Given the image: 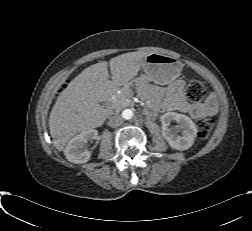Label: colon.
Returning <instances> with one entry per match:
<instances>
[{
    "label": "colon",
    "instance_id": "colon-1",
    "mask_svg": "<svg viewBox=\"0 0 252 231\" xmlns=\"http://www.w3.org/2000/svg\"><path fill=\"white\" fill-rule=\"evenodd\" d=\"M188 97L191 102H199L202 99V90L197 85H192L189 88ZM210 126L207 122H202L200 124V132L205 134L209 130Z\"/></svg>",
    "mask_w": 252,
    "mask_h": 231
}]
</instances>
